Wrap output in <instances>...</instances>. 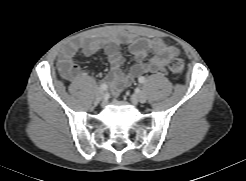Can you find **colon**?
<instances>
[{
	"label": "colon",
	"mask_w": 246,
	"mask_h": 181,
	"mask_svg": "<svg viewBox=\"0 0 246 181\" xmlns=\"http://www.w3.org/2000/svg\"><path fill=\"white\" fill-rule=\"evenodd\" d=\"M168 67L171 73L179 75L184 71L185 60L181 57L173 56L169 60Z\"/></svg>",
	"instance_id": "colon-1"
}]
</instances>
